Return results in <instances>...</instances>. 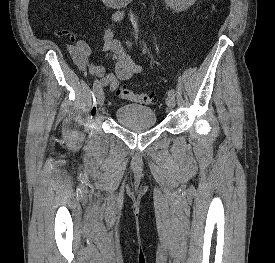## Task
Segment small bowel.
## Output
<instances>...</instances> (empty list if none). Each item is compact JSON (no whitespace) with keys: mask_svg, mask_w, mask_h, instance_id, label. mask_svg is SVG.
Segmentation results:
<instances>
[{"mask_svg":"<svg viewBox=\"0 0 275 263\" xmlns=\"http://www.w3.org/2000/svg\"><path fill=\"white\" fill-rule=\"evenodd\" d=\"M122 15H115L113 22L106 28L103 35V50L107 60L114 62V72L108 73L106 67L90 63L91 50L82 40L72 39L67 45V50L77 68L91 77L97 78L98 84L114 91L120 81L130 80L140 73L143 67L133 61L123 51L120 43L114 38V24Z\"/></svg>","mask_w":275,"mask_h":263,"instance_id":"c3829d8e","label":"small bowel"}]
</instances>
